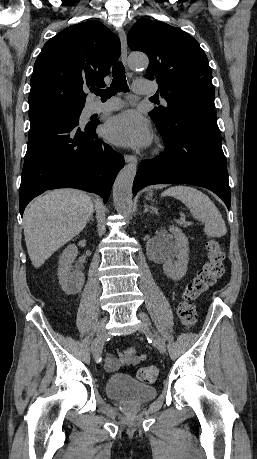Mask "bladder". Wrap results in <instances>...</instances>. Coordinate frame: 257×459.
Returning a JSON list of instances; mask_svg holds the SVG:
<instances>
[{
    "label": "bladder",
    "instance_id": "obj_1",
    "mask_svg": "<svg viewBox=\"0 0 257 459\" xmlns=\"http://www.w3.org/2000/svg\"><path fill=\"white\" fill-rule=\"evenodd\" d=\"M106 394L116 400L141 404L156 397L155 386L139 382L127 374H114L105 384Z\"/></svg>",
    "mask_w": 257,
    "mask_h": 459
}]
</instances>
